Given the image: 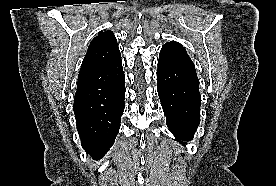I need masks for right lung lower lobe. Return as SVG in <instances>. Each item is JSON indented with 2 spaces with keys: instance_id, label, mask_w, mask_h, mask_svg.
I'll return each instance as SVG.
<instances>
[{
  "instance_id": "98d812e1",
  "label": "right lung lower lobe",
  "mask_w": 276,
  "mask_h": 186,
  "mask_svg": "<svg viewBox=\"0 0 276 186\" xmlns=\"http://www.w3.org/2000/svg\"><path fill=\"white\" fill-rule=\"evenodd\" d=\"M124 73L111 82L77 88L74 114L83 149L95 160L101 159L119 132L124 111Z\"/></svg>"
}]
</instances>
